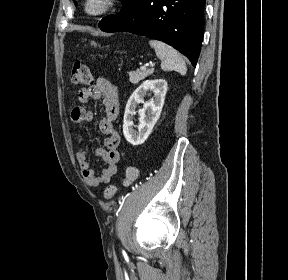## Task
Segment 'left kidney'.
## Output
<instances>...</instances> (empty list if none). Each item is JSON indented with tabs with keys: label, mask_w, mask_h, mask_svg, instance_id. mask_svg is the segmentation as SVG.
I'll return each mask as SVG.
<instances>
[{
	"label": "left kidney",
	"mask_w": 288,
	"mask_h": 280,
	"mask_svg": "<svg viewBox=\"0 0 288 280\" xmlns=\"http://www.w3.org/2000/svg\"><path fill=\"white\" fill-rule=\"evenodd\" d=\"M167 92V82L164 79L144 81L130 96L125 109L123 121V134L126 140L132 145L143 144L151 134L154 125L160 117L165 95ZM154 94L149 101L144 102V96ZM139 103H144L139 109L140 115L137 130L133 123V115Z\"/></svg>",
	"instance_id": "1"
}]
</instances>
